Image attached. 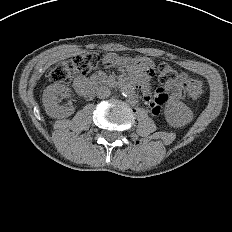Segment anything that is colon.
I'll return each mask as SVG.
<instances>
[{"instance_id": "colon-1", "label": "colon", "mask_w": 232, "mask_h": 232, "mask_svg": "<svg viewBox=\"0 0 232 232\" xmlns=\"http://www.w3.org/2000/svg\"><path fill=\"white\" fill-rule=\"evenodd\" d=\"M99 61L100 58L95 53L74 56L56 65L50 72V79L54 83H68L88 74L98 66ZM157 70L159 81L163 86L171 84L176 79L174 69L168 64H159ZM186 92L191 100H198L202 96L203 85L198 80L190 81L186 86Z\"/></svg>"}]
</instances>
